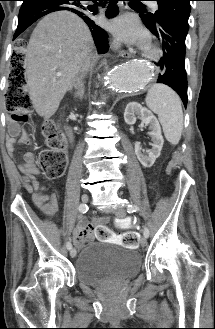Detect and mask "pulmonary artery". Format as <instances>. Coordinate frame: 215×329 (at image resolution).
Instances as JSON below:
<instances>
[{
	"instance_id": "obj_1",
	"label": "pulmonary artery",
	"mask_w": 215,
	"mask_h": 329,
	"mask_svg": "<svg viewBox=\"0 0 215 329\" xmlns=\"http://www.w3.org/2000/svg\"><path fill=\"white\" fill-rule=\"evenodd\" d=\"M151 7L154 9V10H157L158 9V5L156 2H152L151 3Z\"/></svg>"
}]
</instances>
